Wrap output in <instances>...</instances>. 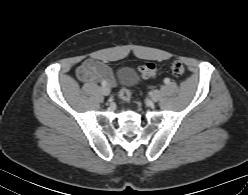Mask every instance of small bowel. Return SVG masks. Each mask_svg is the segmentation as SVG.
<instances>
[{
    "label": "small bowel",
    "instance_id": "c3829d8e",
    "mask_svg": "<svg viewBox=\"0 0 248 195\" xmlns=\"http://www.w3.org/2000/svg\"><path fill=\"white\" fill-rule=\"evenodd\" d=\"M76 77L84 83L94 84L99 81L115 86L116 80L112 69L96 59L85 60L76 70Z\"/></svg>",
    "mask_w": 248,
    "mask_h": 195
}]
</instances>
